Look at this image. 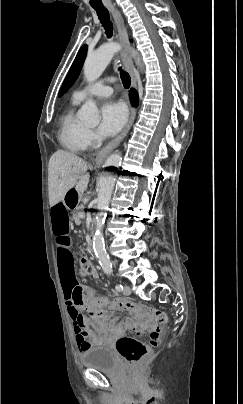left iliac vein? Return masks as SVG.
<instances>
[{"label":"left iliac vein","instance_id":"left-iliac-vein-1","mask_svg":"<svg viewBox=\"0 0 243 404\" xmlns=\"http://www.w3.org/2000/svg\"><path fill=\"white\" fill-rule=\"evenodd\" d=\"M123 294L124 295H130L131 294V288L128 285L124 286Z\"/></svg>","mask_w":243,"mask_h":404}]
</instances>
